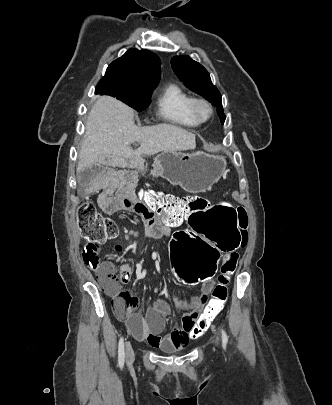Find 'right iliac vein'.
<instances>
[{
	"label": "right iliac vein",
	"mask_w": 332,
	"mask_h": 405,
	"mask_svg": "<svg viewBox=\"0 0 332 405\" xmlns=\"http://www.w3.org/2000/svg\"><path fill=\"white\" fill-rule=\"evenodd\" d=\"M125 351H126L127 364L130 365L134 361V351H133V348H132V346H131V344L129 342L126 344Z\"/></svg>",
	"instance_id": "63e3f726"
}]
</instances>
